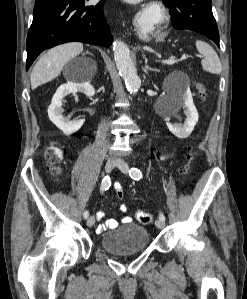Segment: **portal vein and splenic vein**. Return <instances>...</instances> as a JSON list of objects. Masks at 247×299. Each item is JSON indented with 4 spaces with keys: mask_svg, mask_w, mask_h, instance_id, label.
<instances>
[{
    "mask_svg": "<svg viewBox=\"0 0 247 299\" xmlns=\"http://www.w3.org/2000/svg\"><path fill=\"white\" fill-rule=\"evenodd\" d=\"M158 62H162L163 64H168V65H172L176 62H178V60L174 59V58H170L168 60H162V61H159Z\"/></svg>",
    "mask_w": 247,
    "mask_h": 299,
    "instance_id": "1",
    "label": "portal vein and splenic vein"
}]
</instances>
